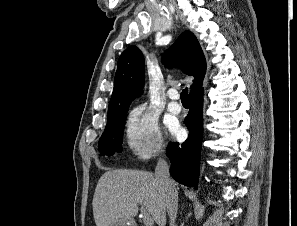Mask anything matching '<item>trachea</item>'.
Masks as SVG:
<instances>
[{"label":"trachea","mask_w":297,"mask_h":226,"mask_svg":"<svg viewBox=\"0 0 297 226\" xmlns=\"http://www.w3.org/2000/svg\"><path fill=\"white\" fill-rule=\"evenodd\" d=\"M182 104H188V88L186 87L181 93Z\"/></svg>","instance_id":"trachea-1"}]
</instances>
